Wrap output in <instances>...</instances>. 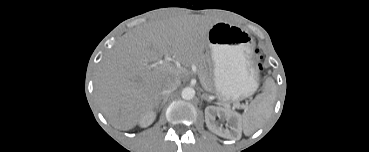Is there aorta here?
Wrapping results in <instances>:
<instances>
[{
	"label": "aorta",
	"instance_id": "aorta-1",
	"mask_svg": "<svg viewBox=\"0 0 369 152\" xmlns=\"http://www.w3.org/2000/svg\"><path fill=\"white\" fill-rule=\"evenodd\" d=\"M181 96L185 100H191L195 96V90L191 87H186L182 90Z\"/></svg>",
	"mask_w": 369,
	"mask_h": 152
}]
</instances>
